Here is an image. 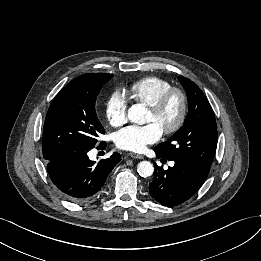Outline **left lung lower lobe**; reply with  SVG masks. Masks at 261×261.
<instances>
[{"instance_id":"left-lung-lower-lobe-1","label":"left lung lower lobe","mask_w":261,"mask_h":261,"mask_svg":"<svg viewBox=\"0 0 261 261\" xmlns=\"http://www.w3.org/2000/svg\"><path fill=\"white\" fill-rule=\"evenodd\" d=\"M157 158L162 156L156 153ZM164 170L155 164L154 179L149 184L150 195L163 206H176L190 199L203 185L208 174L195 170L182 161Z\"/></svg>"}]
</instances>
